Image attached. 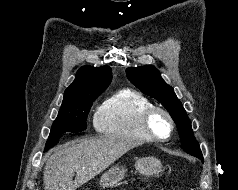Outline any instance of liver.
Wrapping results in <instances>:
<instances>
[{"label":"liver","mask_w":238,"mask_h":190,"mask_svg":"<svg viewBox=\"0 0 238 190\" xmlns=\"http://www.w3.org/2000/svg\"><path fill=\"white\" fill-rule=\"evenodd\" d=\"M140 144L133 139L120 137L83 139L65 144L46 162L44 189L75 190Z\"/></svg>","instance_id":"1"}]
</instances>
